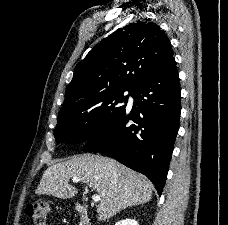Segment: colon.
Listing matches in <instances>:
<instances>
[{
    "instance_id": "1",
    "label": "colon",
    "mask_w": 228,
    "mask_h": 225,
    "mask_svg": "<svg viewBox=\"0 0 228 225\" xmlns=\"http://www.w3.org/2000/svg\"><path fill=\"white\" fill-rule=\"evenodd\" d=\"M26 214L33 219L35 225H56L49 220L50 206L46 201L30 202Z\"/></svg>"
}]
</instances>
